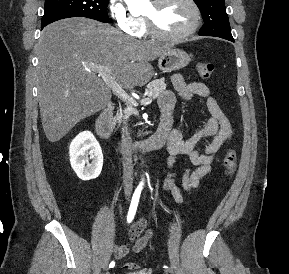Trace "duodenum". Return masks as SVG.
<instances>
[{
    "label": "duodenum",
    "instance_id": "1",
    "mask_svg": "<svg viewBox=\"0 0 289 274\" xmlns=\"http://www.w3.org/2000/svg\"><path fill=\"white\" fill-rule=\"evenodd\" d=\"M173 116L163 113L157 130L145 140L124 144L122 152H146L157 150L165 145L171 133ZM113 128V106L107 103L96 121V131L103 140H109Z\"/></svg>",
    "mask_w": 289,
    "mask_h": 274
}]
</instances>
